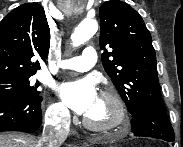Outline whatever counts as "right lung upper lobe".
<instances>
[{
  "label": "right lung upper lobe",
  "instance_id": "right-lung-upper-lobe-1",
  "mask_svg": "<svg viewBox=\"0 0 183 147\" xmlns=\"http://www.w3.org/2000/svg\"><path fill=\"white\" fill-rule=\"evenodd\" d=\"M50 46V29L43 7L26 3L6 15L0 22V79L35 74L39 61L46 60Z\"/></svg>",
  "mask_w": 183,
  "mask_h": 147
}]
</instances>
